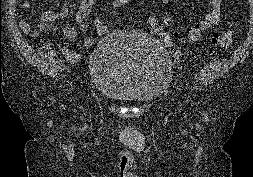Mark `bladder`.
I'll return each mask as SVG.
<instances>
[{
	"label": "bladder",
	"mask_w": 253,
	"mask_h": 177,
	"mask_svg": "<svg viewBox=\"0 0 253 177\" xmlns=\"http://www.w3.org/2000/svg\"><path fill=\"white\" fill-rule=\"evenodd\" d=\"M89 66L96 91L120 102L156 100L172 78L165 47L155 38L129 30L103 39Z\"/></svg>",
	"instance_id": "obj_1"
}]
</instances>
